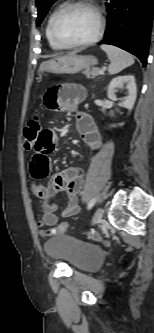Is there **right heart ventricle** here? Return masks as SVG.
Returning a JSON list of instances; mask_svg holds the SVG:
<instances>
[{
	"mask_svg": "<svg viewBox=\"0 0 154 333\" xmlns=\"http://www.w3.org/2000/svg\"><path fill=\"white\" fill-rule=\"evenodd\" d=\"M61 8V6H58L56 8H54L52 10V12L50 13V15L48 16V19H47V22H46V25H45V35H46V38H47V41L50 45V47L54 50H62L64 49L63 47H61L60 45H58L55 40L53 39L52 37V34H51V22H52V19L54 17V15L56 14V12Z\"/></svg>",
	"mask_w": 154,
	"mask_h": 333,
	"instance_id": "e07e8e85",
	"label": "right heart ventricle"
}]
</instances>
